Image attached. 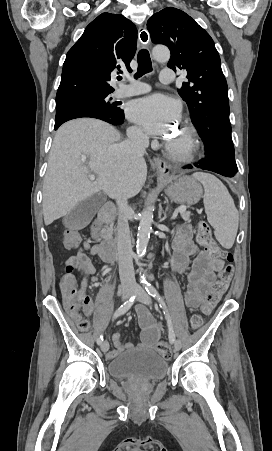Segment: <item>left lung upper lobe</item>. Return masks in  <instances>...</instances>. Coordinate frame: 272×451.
<instances>
[{"mask_svg": "<svg viewBox=\"0 0 272 451\" xmlns=\"http://www.w3.org/2000/svg\"><path fill=\"white\" fill-rule=\"evenodd\" d=\"M151 40L171 51L168 67L187 72L179 94L186 101L192 123L207 142V158L238 171L229 120L227 82L210 35L185 12L169 7L147 22Z\"/></svg>", "mask_w": 272, "mask_h": 451, "instance_id": "left-lung-upper-lobe-1", "label": "left lung upper lobe"}]
</instances>
